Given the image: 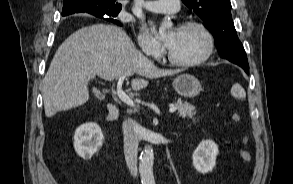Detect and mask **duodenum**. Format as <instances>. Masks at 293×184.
Segmentation results:
<instances>
[{
  "label": "duodenum",
  "instance_id": "obj_1",
  "mask_svg": "<svg viewBox=\"0 0 293 184\" xmlns=\"http://www.w3.org/2000/svg\"><path fill=\"white\" fill-rule=\"evenodd\" d=\"M119 114V108L117 104L110 103L108 105V112L104 116V122L109 126L118 116ZM116 138V136L114 135Z\"/></svg>",
  "mask_w": 293,
  "mask_h": 184
}]
</instances>
